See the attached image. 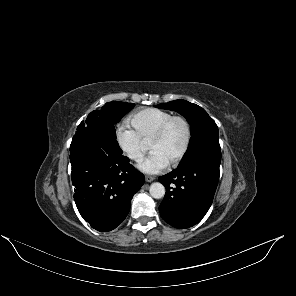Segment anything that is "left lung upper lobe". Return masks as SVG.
<instances>
[{
    "mask_svg": "<svg viewBox=\"0 0 296 296\" xmlns=\"http://www.w3.org/2000/svg\"><path fill=\"white\" fill-rule=\"evenodd\" d=\"M156 107L180 113L191 125V139L182 165L198 156L221 152L218 127L203 108L185 100L162 103Z\"/></svg>",
    "mask_w": 296,
    "mask_h": 296,
    "instance_id": "5c2ea615",
    "label": "left lung upper lobe"
}]
</instances>
